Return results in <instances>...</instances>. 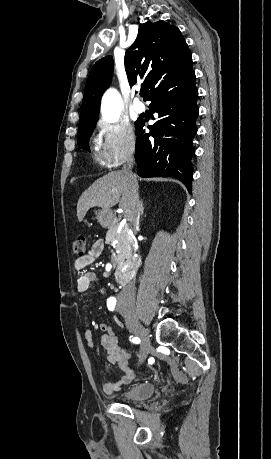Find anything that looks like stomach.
<instances>
[{"instance_id": "obj_1", "label": "stomach", "mask_w": 271, "mask_h": 459, "mask_svg": "<svg viewBox=\"0 0 271 459\" xmlns=\"http://www.w3.org/2000/svg\"><path fill=\"white\" fill-rule=\"evenodd\" d=\"M97 216V220H99V222H105V224H111L114 216L112 214V212H110V210H100V212H98V214H96Z\"/></svg>"}]
</instances>
